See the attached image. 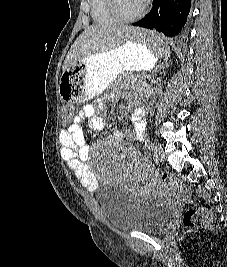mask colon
Listing matches in <instances>:
<instances>
[{"instance_id":"1","label":"colon","mask_w":227,"mask_h":267,"mask_svg":"<svg viewBox=\"0 0 227 267\" xmlns=\"http://www.w3.org/2000/svg\"><path fill=\"white\" fill-rule=\"evenodd\" d=\"M76 105H65L62 111V119H75ZM62 125H71V120H62ZM161 187L171 193L176 194L181 200L189 198L188 188L178 179L168 174H163L160 180ZM212 213L205 208L188 209L183 216V226L187 230L207 228L212 223Z\"/></svg>"}]
</instances>
